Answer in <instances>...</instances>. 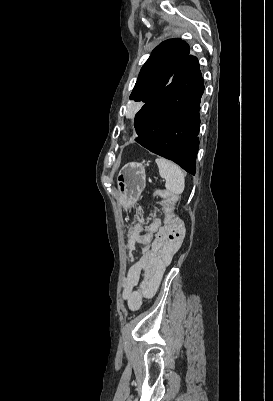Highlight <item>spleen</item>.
I'll return each instance as SVG.
<instances>
[{
	"label": "spleen",
	"mask_w": 273,
	"mask_h": 401,
	"mask_svg": "<svg viewBox=\"0 0 273 401\" xmlns=\"http://www.w3.org/2000/svg\"><path fill=\"white\" fill-rule=\"evenodd\" d=\"M156 162L160 176L166 180L165 186L167 190H170L173 194H181L185 188V178L180 166H177L171 160H166V158H156Z\"/></svg>",
	"instance_id": "spleen-1"
}]
</instances>
